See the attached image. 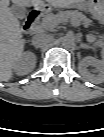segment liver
I'll use <instances>...</instances> for the list:
<instances>
[{"label": "liver", "instance_id": "6515ba94", "mask_svg": "<svg viewBox=\"0 0 104 137\" xmlns=\"http://www.w3.org/2000/svg\"><path fill=\"white\" fill-rule=\"evenodd\" d=\"M56 8H67L85 0H46ZM20 7H35L39 10L44 6L42 0H12ZM21 27L17 17L12 13L5 0H1L0 9V80L12 78V69L23 53L25 41L22 39Z\"/></svg>", "mask_w": 104, "mask_h": 137}]
</instances>
